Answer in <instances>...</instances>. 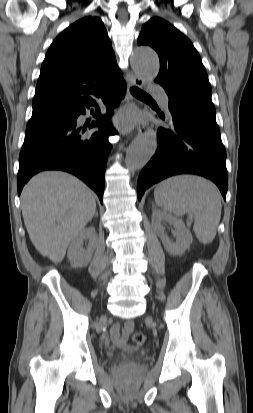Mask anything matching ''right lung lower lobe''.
Wrapping results in <instances>:
<instances>
[{
  "instance_id": "obj_1",
  "label": "right lung lower lobe",
  "mask_w": 253,
  "mask_h": 413,
  "mask_svg": "<svg viewBox=\"0 0 253 413\" xmlns=\"http://www.w3.org/2000/svg\"><path fill=\"white\" fill-rule=\"evenodd\" d=\"M126 91V83L118 74L102 92L107 114L102 116L97 110V121L90 128L100 130L91 135L84 134L85 128L77 127V118L85 114V107L96 105L95 100L85 102L71 110L69 120L41 133L25 137L17 175L18 194L23 186L36 173L43 170H63L80 178L91 187L103 203L104 175L111 144L110 135L116 133L110 116L119 105Z\"/></svg>"
}]
</instances>
